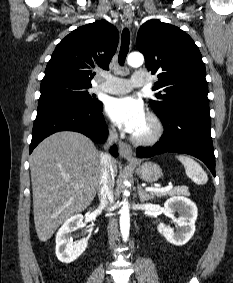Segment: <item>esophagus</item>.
Returning a JSON list of instances; mask_svg holds the SVG:
<instances>
[{"instance_id": "obj_1", "label": "esophagus", "mask_w": 233, "mask_h": 283, "mask_svg": "<svg viewBox=\"0 0 233 283\" xmlns=\"http://www.w3.org/2000/svg\"><path fill=\"white\" fill-rule=\"evenodd\" d=\"M132 20H133V11L130 8H126L124 10L123 22L127 27H130L132 24ZM119 153L120 156L126 159L127 161L129 162L135 161L131 147L122 141L119 142Z\"/></svg>"}]
</instances>
